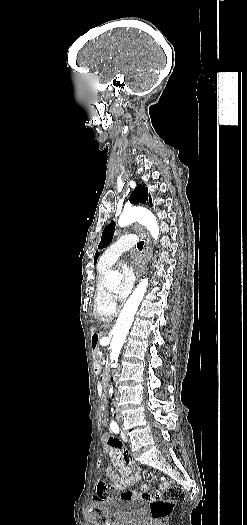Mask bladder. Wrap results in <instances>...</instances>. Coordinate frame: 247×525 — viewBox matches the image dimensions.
<instances>
[{
    "label": "bladder",
    "instance_id": "1",
    "mask_svg": "<svg viewBox=\"0 0 247 525\" xmlns=\"http://www.w3.org/2000/svg\"><path fill=\"white\" fill-rule=\"evenodd\" d=\"M93 506L107 517L125 518L131 514L142 511L143 498L134 500L107 498L93 502Z\"/></svg>",
    "mask_w": 247,
    "mask_h": 525
}]
</instances>
